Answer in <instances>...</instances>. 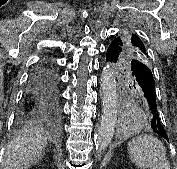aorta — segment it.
Returning a JSON list of instances; mask_svg holds the SVG:
<instances>
[{
    "mask_svg": "<svg viewBox=\"0 0 177 169\" xmlns=\"http://www.w3.org/2000/svg\"><path fill=\"white\" fill-rule=\"evenodd\" d=\"M101 90L102 116L94 138L97 157L101 156L102 152H104V150L110 144L117 124V88L114 72L109 65L104 67L103 70V75L101 78Z\"/></svg>",
    "mask_w": 177,
    "mask_h": 169,
    "instance_id": "762f6f07",
    "label": "aorta"
}]
</instances>
